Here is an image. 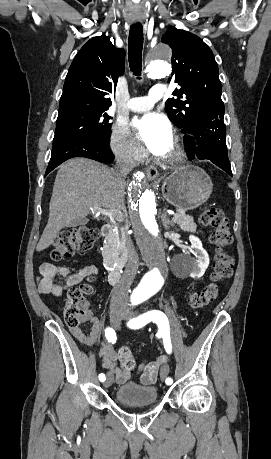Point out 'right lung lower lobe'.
Instances as JSON below:
<instances>
[{"label": "right lung lower lobe", "instance_id": "obj_1", "mask_svg": "<svg viewBox=\"0 0 271 459\" xmlns=\"http://www.w3.org/2000/svg\"><path fill=\"white\" fill-rule=\"evenodd\" d=\"M109 140L90 137H73L53 144L51 159L45 176L58 165L73 157H86L99 162L114 160Z\"/></svg>", "mask_w": 271, "mask_h": 459}]
</instances>
